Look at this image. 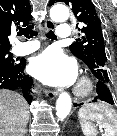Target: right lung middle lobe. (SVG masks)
<instances>
[{"mask_svg":"<svg viewBox=\"0 0 117 136\" xmlns=\"http://www.w3.org/2000/svg\"><path fill=\"white\" fill-rule=\"evenodd\" d=\"M13 64H15V60L9 51L0 52V65L11 66Z\"/></svg>","mask_w":117,"mask_h":136,"instance_id":"right-lung-middle-lobe-1","label":"right lung middle lobe"}]
</instances>
